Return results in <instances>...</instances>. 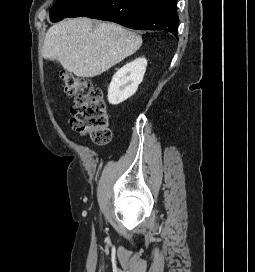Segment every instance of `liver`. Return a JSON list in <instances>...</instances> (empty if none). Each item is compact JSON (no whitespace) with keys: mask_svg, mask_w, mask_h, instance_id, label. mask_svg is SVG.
Instances as JSON below:
<instances>
[{"mask_svg":"<svg viewBox=\"0 0 255 272\" xmlns=\"http://www.w3.org/2000/svg\"><path fill=\"white\" fill-rule=\"evenodd\" d=\"M142 37L116 23L80 17L50 27L45 35L43 57L57 60L78 77H95L136 52Z\"/></svg>","mask_w":255,"mask_h":272,"instance_id":"6515ba94","label":"liver"}]
</instances>
